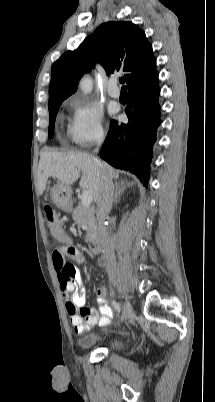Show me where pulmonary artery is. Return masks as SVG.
<instances>
[{
    "label": "pulmonary artery",
    "mask_w": 215,
    "mask_h": 402,
    "mask_svg": "<svg viewBox=\"0 0 215 402\" xmlns=\"http://www.w3.org/2000/svg\"><path fill=\"white\" fill-rule=\"evenodd\" d=\"M107 91H108V94L113 98H119L120 97V89L117 87L116 78H111L109 80Z\"/></svg>",
    "instance_id": "e3ab8cb5"
}]
</instances>
